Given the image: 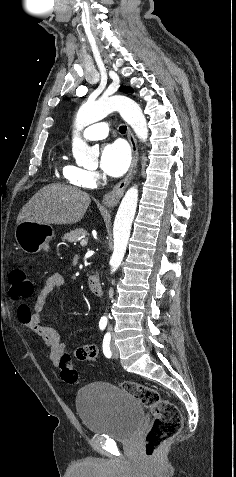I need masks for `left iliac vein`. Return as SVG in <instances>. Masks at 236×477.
I'll return each instance as SVG.
<instances>
[{
	"label": "left iliac vein",
	"mask_w": 236,
	"mask_h": 477,
	"mask_svg": "<svg viewBox=\"0 0 236 477\" xmlns=\"http://www.w3.org/2000/svg\"><path fill=\"white\" fill-rule=\"evenodd\" d=\"M111 351L114 358L119 357V351L117 345L112 341L111 342Z\"/></svg>",
	"instance_id": "left-iliac-vein-1"
}]
</instances>
